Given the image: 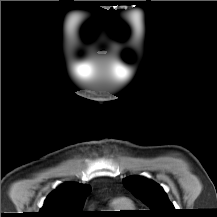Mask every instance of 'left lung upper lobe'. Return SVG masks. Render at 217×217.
Listing matches in <instances>:
<instances>
[{"instance_id":"left-lung-upper-lobe-1","label":"left lung upper lobe","mask_w":217,"mask_h":217,"mask_svg":"<svg viewBox=\"0 0 217 217\" xmlns=\"http://www.w3.org/2000/svg\"><path fill=\"white\" fill-rule=\"evenodd\" d=\"M123 184L133 195L139 198L150 210V217H173L176 212L164 189L151 179L130 176L123 179Z\"/></svg>"}]
</instances>
